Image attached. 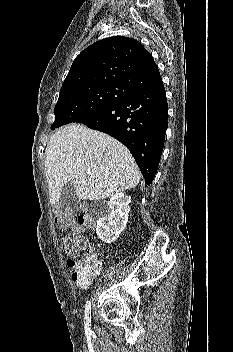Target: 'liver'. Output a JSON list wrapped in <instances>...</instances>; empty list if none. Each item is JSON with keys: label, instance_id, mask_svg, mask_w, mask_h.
I'll list each match as a JSON object with an SVG mask.
<instances>
[{"label": "liver", "instance_id": "liver-1", "mask_svg": "<svg viewBox=\"0 0 233 352\" xmlns=\"http://www.w3.org/2000/svg\"><path fill=\"white\" fill-rule=\"evenodd\" d=\"M44 165L52 205L69 182L79 200H99L135 187L141 176L123 144L81 124L65 126L51 136Z\"/></svg>", "mask_w": 233, "mask_h": 352}]
</instances>
